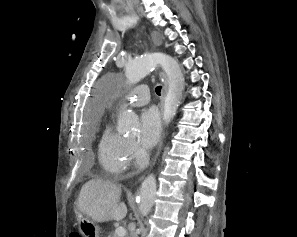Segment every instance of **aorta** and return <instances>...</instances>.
<instances>
[{"mask_svg": "<svg viewBox=\"0 0 297 237\" xmlns=\"http://www.w3.org/2000/svg\"><path fill=\"white\" fill-rule=\"evenodd\" d=\"M156 67H161L168 78V92L164 102L163 120L169 123L176 114L185 88L184 75L177 60L163 53H152L141 58L132 59L125 66V76L128 84H136ZM139 129L138 117L132 110H124L119 115V133L137 135ZM155 196L156 179L151 174L142 182L139 190L138 203L142 216H147L151 211Z\"/></svg>", "mask_w": 297, "mask_h": 237, "instance_id": "762f6f07", "label": "aorta"}]
</instances>
